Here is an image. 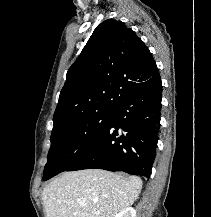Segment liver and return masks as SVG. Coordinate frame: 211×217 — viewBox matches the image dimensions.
<instances>
[{
    "instance_id": "6515ba94",
    "label": "liver",
    "mask_w": 211,
    "mask_h": 217,
    "mask_svg": "<svg viewBox=\"0 0 211 217\" xmlns=\"http://www.w3.org/2000/svg\"><path fill=\"white\" fill-rule=\"evenodd\" d=\"M141 189L137 176L87 169L54 179L42 200L47 217H114L137 200Z\"/></svg>"
}]
</instances>
